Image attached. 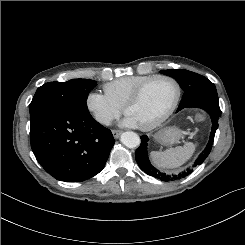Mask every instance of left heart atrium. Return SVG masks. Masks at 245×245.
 Instances as JSON below:
<instances>
[{
	"label": "left heart atrium",
	"instance_id": "1",
	"mask_svg": "<svg viewBox=\"0 0 245 245\" xmlns=\"http://www.w3.org/2000/svg\"><path fill=\"white\" fill-rule=\"evenodd\" d=\"M122 125L127 126V127H139L140 126L139 123L137 122V120L128 114L123 119Z\"/></svg>",
	"mask_w": 245,
	"mask_h": 245
}]
</instances>
